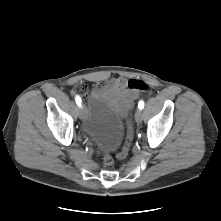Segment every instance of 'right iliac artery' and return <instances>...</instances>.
<instances>
[{
  "mask_svg": "<svg viewBox=\"0 0 221 221\" xmlns=\"http://www.w3.org/2000/svg\"><path fill=\"white\" fill-rule=\"evenodd\" d=\"M75 101H76V104H77L78 106H81L82 100H81V98H80L79 96H76V97H75Z\"/></svg>",
  "mask_w": 221,
  "mask_h": 221,
  "instance_id": "82829eb1",
  "label": "right iliac artery"
}]
</instances>
